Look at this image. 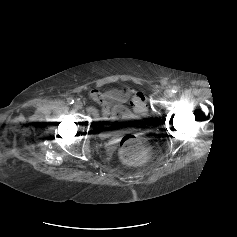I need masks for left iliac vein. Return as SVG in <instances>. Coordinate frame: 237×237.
Masks as SVG:
<instances>
[{"instance_id":"left-iliac-vein-1","label":"left iliac vein","mask_w":237,"mask_h":237,"mask_svg":"<svg viewBox=\"0 0 237 237\" xmlns=\"http://www.w3.org/2000/svg\"><path fill=\"white\" fill-rule=\"evenodd\" d=\"M164 96L167 97V98L172 97L173 96L172 90H170V89L165 90Z\"/></svg>"}]
</instances>
